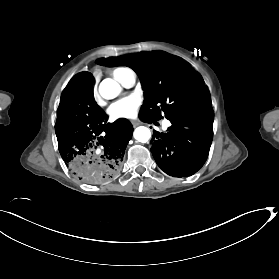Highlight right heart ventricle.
I'll return each mask as SVG.
<instances>
[{
  "label": "right heart ventricle",
  "mask_w": 279,
  "mask_h": 279,
  "mask_svg": "<svg viewBox=\"0 0 279 279\" xmlns=\"http://www.w3.org/2000/svg\"><path fill=\"white\" fill-rule=\"evenodd\" d=\"M129 72H133V71L129 68L118 67V68L113 69L111 71V74L119 84L124 86L125 79Z\"/></svg>",
  "instance_id": "right-heart-ventricle-1"
}]
</instances>
